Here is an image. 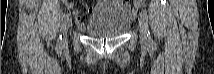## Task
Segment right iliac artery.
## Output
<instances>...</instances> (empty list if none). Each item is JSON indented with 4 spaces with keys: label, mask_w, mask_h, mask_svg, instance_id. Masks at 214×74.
<instances>
[{
    "label": "right iliac artery",
    "mask_w": 214,
    "mask_h": 74,
    "mask_svg": "<svg viewBox=\"0 0 214 74\" xmlns=\"http://www.w3.org/2000/svg\"><path fill=\"white\" fill-rule=\"evenodd\" d=\"M69 18V14H64L62 17V23L64 25V22L66 21V19ZM63 27V26H62ZM57 48L61 49L62 48V34L59 36L58 42H57Z\"/></svg>",
    "instance_id": "obj_1"
}]
</instances>
